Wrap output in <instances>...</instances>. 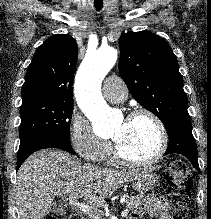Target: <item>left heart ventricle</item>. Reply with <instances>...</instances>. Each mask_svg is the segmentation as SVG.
Returning <instances> with one entry per match:
<instances>
[{"instance_id": "obj_1", "label": "left heart ventricle", "mask_w": 211, "mask_h": 219, "mask_svg": "<svg viewBox=\"0 0 211 219\" xmlns=\"http://www.w3.org/2000/svg\"><path fill=\"white\" fill-rule=\"evenodd\" d=\"M111 138L126 157L144 160L156 153L160 134L155 123L142 116L131 121H121L113 129Z\"/></svg>"}]
</instances>
